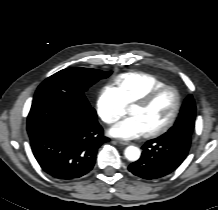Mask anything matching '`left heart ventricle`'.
Wrapping results in <instances>:
<instances>
[{"label": "left heart ventricle", "instance_id": "1", "mask_svg": "<svg viewBox=\"0 0 218 210\" xmlns=\"http://www.w3.org/2000/svg\"><path fill=\"white\" fill-rule=\"evenodd\" d=\"M175 105V97L172 91L161 94L150 106L135 105L131 108L132 116L139 117L144 123L147 132L164 125L170 118Z\"/></svg>", "mask_w": 218, "mask_h": 210}]
</instances>
